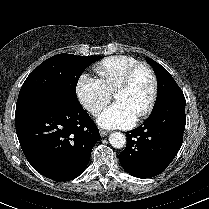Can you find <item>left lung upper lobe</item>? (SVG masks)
Returning <instances> with one entry per match:
<instances>
[{
    "mask_svg": "<svg viewBox=\"0 0 209 209\" xmlns=\"http://www.w3.org/2000/svg\"><path fill=\"white\" fill-rule=\"evenodd\" d=\"M147 61L155 70L158 78V98L155 108L167 102L185 100L182 90L179 88L170 73L153 59L147 58Z\"/></svg>",
    "mask_w": 209,
    "mask_h": 209,
    "instance_id": "5c2ea615",
    "label": "left lung upper lobe"
}]
</instances>
